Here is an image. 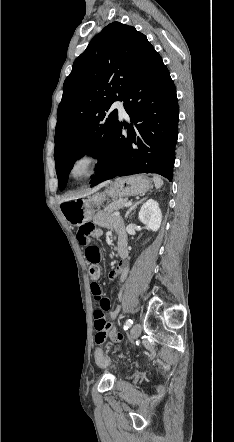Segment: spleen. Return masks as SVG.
I'll return each instance as SVG.
<instances>
[{"mask_svg":"<svg viewBox=\"0 0 234 442\" xmlns=\"http://www.w3.org/2000/svg\"><path fill=\"white\" fill-rule=\"evenodd\" d=\"M153 181L157 189H159L163 185V180L158 175H154Z\"/></svg>","mask_w":234,"mask_h":442,"instance_id":"3e777b00","label":"spleen"}]
</instances>
